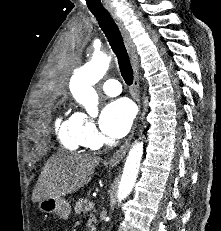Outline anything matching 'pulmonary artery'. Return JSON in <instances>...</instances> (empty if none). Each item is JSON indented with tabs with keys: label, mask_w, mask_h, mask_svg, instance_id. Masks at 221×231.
Segmentation results:
<instances>
[{
	"label": "pulmonary artery",
	"mask_w": 221,
	"mask_h": 231,
	"mask_svg": "<svg viewBox=\"0 0 221 231\" xmlns=\"http://www.w3.org/2000/svg\"><path fill=\"white\" fill-rule=\"evenodd\" d=\"M102 89L104 93L108 96H117L122 91L121 84L117 80H114V79L106 80L102 84Z\"/></svg>",
	"instance_id": "obj_1"
}]
</instances>
